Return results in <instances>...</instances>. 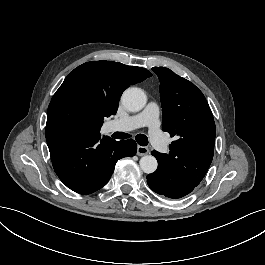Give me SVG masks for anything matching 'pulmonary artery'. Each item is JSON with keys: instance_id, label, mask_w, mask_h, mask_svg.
<instances>
[{"instance_id": "1", "label": "pulmonary artery", "mask_w": 265, "mask_h": 265, "mask_svg": "<svg viewBox=\"0 0 265 265\" xmlns=\"http://www.w3.org/2000/svg\"><path fill=\"white\" fill-rule=\"evenodd\" d=\"M160 108L158 104L150 102L145 110L135 116H124L112 121L115 132L122 134L126 131H139L143 128L153 126V129L158 128V119L160 116Z\"/></svg>"}]
</instances>
